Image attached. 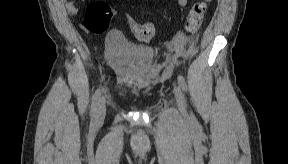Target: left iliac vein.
I'll return each instance as SVG.
<instances>
[{
	"instance_id": "left-iliac-vein-1",
	"label": "left iliac vein",
	"mask_w": 288,
	"mask_h": 164,
	"mask_svg": "<svg viewBox=\"0 0 288 164\" xmlns=\"http://www.w3.org/2000/svg\"><path fill=\"white\" fill-rule=\"evenodd\" d=\"M174 94L176 97V102L178 109L181 113V115L186 118L188 116L187 111H186V105H185V98L184 94L182 93L181 89L179 86L174 87Z\"/></svg>"
}]
</instances>
